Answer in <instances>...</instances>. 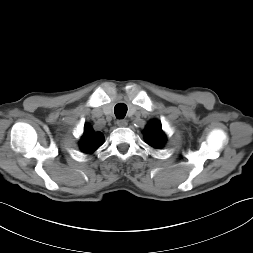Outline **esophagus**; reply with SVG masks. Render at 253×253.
<instances>
[{
    "label": "esophagus",
    "mask_w": 253,
    "mask_h": 253,
    "mask_svg": "<svg viewBox=\"0 0 253 253\" xmlns=\"http://www.w3.org/2000/svg\"><path fill=\"white\" fill-rule=\"evenodd\" d=\"M116 124H117L119 127H125V126H127V121L124 120V119H119V120H117Z\"/></svg>",
    "instance_id": "esophagus-1"
}]
</instances>
